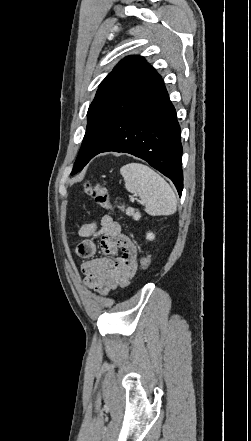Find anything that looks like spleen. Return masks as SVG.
Segmentation results:
<instances>
[{
    "mask_svg": "<svg viewBox=\"0 0 251 441\" xmlns=\"http://www.w3.org/2000/svg\"><path fill=\"white\" fill-rule=\"evenodd\" d=\"M125 188L138 194L145 212L152 216L172 215L177 200L170 185L154 170L141 163H128L121 167Z\"/></svg>",
    "mask_w": 251,
    "mask_h": 441,
    "instance_id": "3e777b00",
    "label": "spleen"
}]
</instances>
